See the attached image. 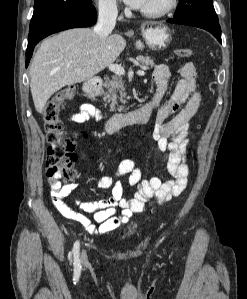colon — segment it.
Returning a JSON list of instances; mask_svg holds the SVG:
<instances>
[{
    "instance_id": "obj_1",
    "label": "colon",
    "mask_w": 247,
    "mask_h": 299,
    "mask_svg": "<svg viewBox=\"0 0 247 299\" xmlns=\"http://www.w3.org/2000/svg\"><path fill=\"white\" fill-rule=\"evenodd\" d=\"M177 57L185 59L192 55L189 48L177 49ZM75 89L72 86L60 90L50 98L43 108V128L48 142L46 170L49 183L53 186L61 185L72 179L76 172L73 167L75 161V142L65 136L59 119L61 105L74 97Z\"/></svg>"
}]
</instances>
